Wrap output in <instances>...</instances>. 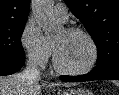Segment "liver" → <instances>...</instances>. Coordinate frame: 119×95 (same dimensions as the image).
Instances as JSON below:
<instances>
[{"label": "liver", "instance_id": "6515ba94", "mask_svg": "<svg viewBox=\"0 0 119 95\" xmlns=\"http://www.w3.org/2000/svg\"><path fill=\"white\" fill-rule=\"evenodd\" d=\"M61 86V84H57ZM47 84L39 83V80L28 81L22 77L21 73L12 74L9 76H0V95H42V89L46 88ZM55 86L51 84L50 87ZM63 86H70L63 84Z\"/></svg>", "mask_w": 119, "mask_h": 95}]
</instances>
